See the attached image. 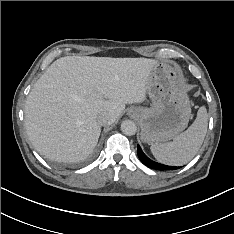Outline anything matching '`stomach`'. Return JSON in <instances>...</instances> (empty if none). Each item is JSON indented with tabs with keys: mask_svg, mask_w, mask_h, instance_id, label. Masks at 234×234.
<instances>
[{
	"mask_svg": "<svg viewBox=\"0 0 234 234\" xmlns=\"http://www.w3.org/2000/svg\"><path fill=\"white\" fill-rule=\"evenodd\" d=\"M147 93L152 105L150 108H138L137 116L142 141L162 143L187 127L190 102L177 72L170 65L156 62L148 77Z\"/></svg>",
	"mask_w": 234,
	"mask_h": 234,
	"instance_id": "0dacf381",
	"label": "stomach"
}]
</instances>
